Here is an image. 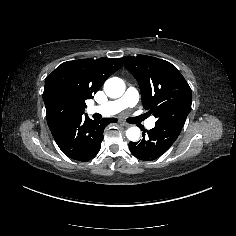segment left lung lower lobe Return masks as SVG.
<instances>
[{
    "instance_id": "1",
    "label": "left lung lower lobe",
    "mask_w": 236,
    "mask_h": 236,
    "mask_svg": "<svg viewBox=\"0 0 236 236\" xmlns=\"http://www.w3.org/2000/svg\"><path fill=\"white\" fill-rule=\"evenodd\" d=\"M141 129L142 140L130 142L129 149L136 158L151 161L163 155L172 146L182 127L175 124L156 123L155 127L149 131L143 127Z\"/></svg>"
}]
</instances>
